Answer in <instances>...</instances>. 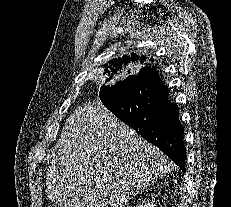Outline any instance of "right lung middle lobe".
<instances>
[{"mask_svg":"<svg viewBox=\"0 0 231 207\" xmlns=\"http://www.w3.org/2000/svg\"><path fill=\"white\" fill-rule=\"evenodd\" d=\"M121 83H122V81H119V82H118L116 85H114V86L102 87V88L100 89L99 96H104L106 92H108L109 90H114V89L117 88Z\"/></svg>","mask_w":231,"mask_h":207,"instance_id":"right-lung-middle-lobe-1","label":"right lung middle lobe"}]
</instances>
